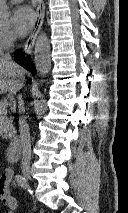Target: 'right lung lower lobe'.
<instances>
[{
  "label": "right lung lower lobe",
  "mask_w": 128,
  "mask_h": 213,
  "mask_svg": "<svg viewBox=\"0 0 128 213\" xmlns=\"http://www.w3.org/2000/svg\"><path fill=\"white\" fill-rule=\"evenodd\" d=\"M15 60L22 65L23 67H25L26 69H28L29 71H31L33 74L36 73L35 71V66L34 64L31 62L30 57L27 56L24 57V53H22L20 50H17L14 54Z\"/></svg>",
  "instance_id": "1"
}]
</instances>
